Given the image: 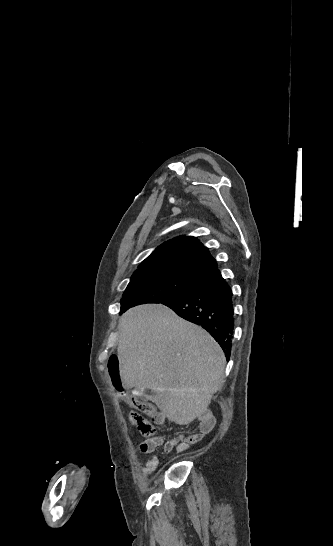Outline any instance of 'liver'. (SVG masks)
Wrapping results in <instances>:
<instances>
[{
  "mask_svg": "<svg viewBox=\"0 0 333 546\" xmlns=\"http://www.w3.org/2000/svg\"><path fill=\"white\" fill-rule=\"evenodd\" d=\"M119 374L123 386L148 397L169 420L183 425L207 411L224 383L226 359L211 335L162 304L129 309L119 320Z\"/></svg>",
  "mask_w": 333,
  "mask_h": 546,
  "instance_id": "obj_1",
  "label": "liver"
}]
</instances>
